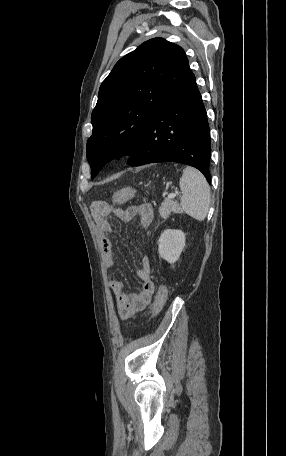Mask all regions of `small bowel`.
I'll list each match as a JSON object with an SVG mask.
<instances>
[{
	"instance_id": "small-bowel-1",
	"label": "small bowel",
	"mask_w": 286,
	"mask_h": 456,
	"mask_svg": "<svg viewBox=\"0 0 286 456\" xmlns=\"http://www.w3.org/2000/svg\"><path fill=\"white\" fill-rule=\"evenodd\" d=\"M114 210L111 206L108 210L99 212L94 210V215L98 219L100 228L99 239L102 250V257L105 265L112 268L115 265L113 259L112 241L110 234L112 229L107 222L108 215ZM122 219L131 222L138 219L139 225L143 229H148L154 219V210L150 204L128 207L120 212ZM137 277L142 283L141 289L136 294H129L124 291V285L119 280H110L109 287L114 293L118 313L122 319H128L137 312L143 310L151 301L154 284L151 280V261L148 256L141 259Z\"/></svg>"
}]
</instances>
